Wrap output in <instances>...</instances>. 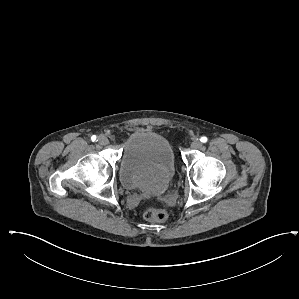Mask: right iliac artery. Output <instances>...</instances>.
Returning <instances> with one entry per match:
<instances>
[{
    "label": "right iliac artery",
    "instance_id": "82829eb1",
    "mask_svg": "<svg viewBox=\"0 0 299 299\" xmlns=\"http://www.w3.org/2000/svg\"><path fill=\"white\" fill-rule=\"evenodd\" d=\"M96 139H97L96 135H93V136L91 137V140H92L93 142L96 141Z\"/></svg>",
    "mask_w": 299,
    "mask_h": 299
}]
</instances>
